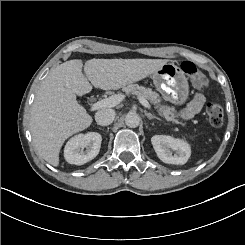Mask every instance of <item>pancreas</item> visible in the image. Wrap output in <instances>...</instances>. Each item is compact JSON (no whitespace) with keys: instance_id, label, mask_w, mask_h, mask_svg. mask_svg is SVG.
Masks as SVG:
<instances>
[{"instance_id":"pancreas-1","label":"pancreas","mask_w":245,"mask_h":245,"mask_svg":"<svg viewBox=\"0 0 245 245\" xmlns=\"http://www.w3.org/2000/svg\"><path fill=\"white\" fill-rule=\"evenodd\" d=\"M122 90L127 95L134 94L150 101L152 104L155 105V108L157 109L159 115L163 116L167 121H172L174 123L184 125L183 123L175 119L176 115L174 107L159 104L161 101L159 94L152 91V89L139 86L138 84H129L127 86H124Z\"/></svg>"}]
</instances>
